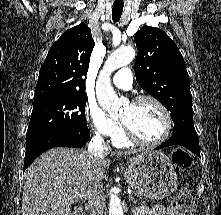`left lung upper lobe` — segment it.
Wrapping results in <instances>:
<instances>
[{
    "mask_svg": "<svg viewBox=\"0 0 221 215\" xmlns=\"http://www.w3.org/2000/svg\"><path fill=\"white\" fill-rule=\"evenodd\" d=\"M138 84L171 113L174 131L195 130L189 75L176 44L161 29L144 26L135 34Z\"/></svg>",
    "mask_w": 221,
    "mask_h": 215,
    "instance_id": "5c2ea615",
    "label": "left lung upper lobe"
}]
</instances>
